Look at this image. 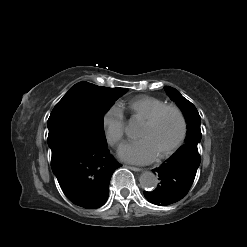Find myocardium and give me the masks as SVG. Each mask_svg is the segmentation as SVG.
Instances as JSON below:
<instances>
[{
	"label": "myocardium",
	"instance_id": "f54148a6",
	"mask_svg": "<svg viewBox=\"0 0 247 247\" xmlns=\"http://www.w3.org/2000/svg\"><path fill=\"white\" fill-rule=\"evenodd\" d=\"M168 111L174 112L177 115L179 122H180V132L176 140L172 143V145H170L162 153L158 154L159 159H165L169 157L170 155H172L181 146L187 134L186 117L183 111L178 106L172 105V104H166L163 107L156 110L149 118L143 121V125L153 126L154 124L157 123L160 117Z\"/></svg>",
	"mask_w": 247,
	"mask_h": 247
}]
</instances>
